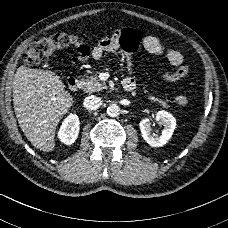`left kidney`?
<instances>
[{
	"label": "left kidney",
	"mask_w": 228,
	"mask_h": 228,
	"mask_svg": "<svg viewBox=\"0 0 228 228\" xmlns=\"http://www.w3.org/2000/svg\"><path fill=\"white\" fill-rule=\"evenodd\" d=\"M154 121L163 127L161 133L151 128V118H144L139 123L141 134L144 141L150 146L162 147L172 136L176 126V120L168 113L158 112L154 117Z\"/></svg>",
	"instance_id": "obj_1"
}]
</instances>
